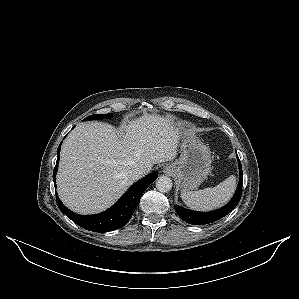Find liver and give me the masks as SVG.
Instances as JSON below:
<instances>
[{
  "mask_svg": "<svg viewBox=\"0 0 299 299\" xmlns=\"http://www.w3.org/2000/svg\"><path fill=\"white\" fill-rule=\"evenodd\" d=\"M119 133L103 122L77 125L64 140L57 173L61 201L80 214L99 213L114 204L133 184L134 168L177 156L181 132L169 117L144 115Z\"/></svg>",
  "mask_w": 299,
  "mask_h": 299,
  "instance_id": "liver-1",
  "label": "liver"
}]
</instances>
